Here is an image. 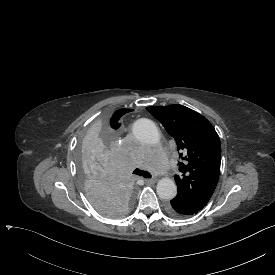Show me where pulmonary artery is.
I'll list each match as a JSON object with an SVG mask.
<instances>
[{"instance_id": "1", "label": "pulmonary artery", "mask_w": 275, "mask_h": 275, "mask_svg": "<svg viewBox=\"0 0 275 275\" xmlns=\"http://www.w3.org/2000/svg\"><path fill=\"white\" fill-rule=\"evenodd\" d=\"M168 164L170 165V167L172 168V172L174 173L175 176H178L179 175V172L176 168V165L174 164V161L173 160H169L168 161Z\"/></svg>"}]
</instances>
